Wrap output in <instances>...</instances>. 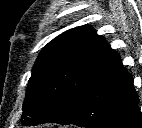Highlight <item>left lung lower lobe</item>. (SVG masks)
I'll return each instance as SVG.
<instances>
[{
  "instance_id": "1",
  "label": "left lung lower lobe",
  "mask_w": 142,
  "mask_h": 128,
  "mask_svg": "<svg viewBox=\"0 0 142 128\" xmlns=\"http://www.w3.org/2000/svg\"><path fill=\"white\" fill-rule=\"evenodd\" d=\"M138 101L133 78L118 56L87 84L67 116L53 123L87 128H142Z\"/></svg>"
}]
</instances>
